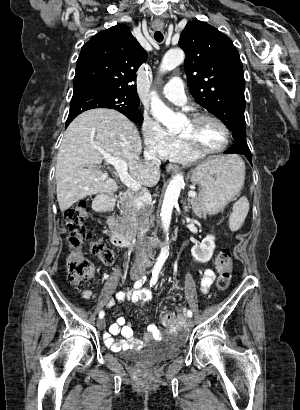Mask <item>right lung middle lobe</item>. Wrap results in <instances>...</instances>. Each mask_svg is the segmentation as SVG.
Instances as JSON below:
<instances>
[{
  "mask_svg": "<svg viewBox=\"0 0 300 410\" xmlns=\"http://www.w3.org/2000/svg\"><path fill=\"white\" fill-rule=\"evenodd\" d=\"M73 90L67 121L74 119L83 111L104 107L116 109L132 121H143L138 106L133 107L129 99L116 91L89 83L74 84Z\"/></svg>",
  "mask_w": 300,
  "mask_h": 410,
  "instance_id": "dd1d6c3e",
  "label": "right lung middle lobe"
}]
</instances>
